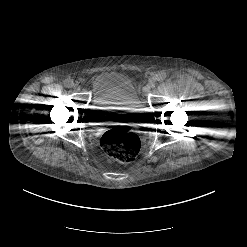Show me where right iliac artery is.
Here are the masks:
<instances>
[{"instance_id": "1", "label": "right iliac artery", "mask_w": 247, "mask_h": 247, "mask_svg": "<svg viewBox=\"0 0 247 247\" xmlns=\"http://www.w3.org/2000/svg\"><path fill=\"white\" fill-rule=\"evenodd\" d=\"M64 85L68 88L72 87L74 85L73 81L70 79L65 80Z\"/></svg>"}]
</instances>
